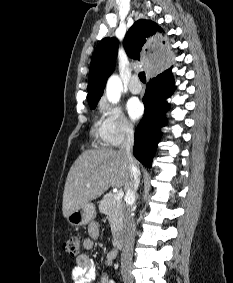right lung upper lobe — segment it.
I'll use <instances>...</instances> for the list:
<instances>
[{
    "label": "right lung upper lobe",
    "mask_w": 233,
    "mask_h": 283,
    "mask_svg": "<svg viewBox=\"0 0 233 283\" xmlns=\"http://www.w3.org/2000/svg\"><path fill=\"white\" fill-rule=\"evenodd\" d=\"M162 34L163 29L155 22L144 19L136 21L123 41L127 55L137 60H140L142 54H146V59H174V54H181L182 50L167 49L164 43H169V38H161ZM118 46L117 38L106 37L93 53L87 88L90 106L97 105L103 94L105 83L115 67ZM146 64L153 65V70H166L170 60H147Z\"/></svg>",
    "instance_id": "obj_1"
}]
</instances>
